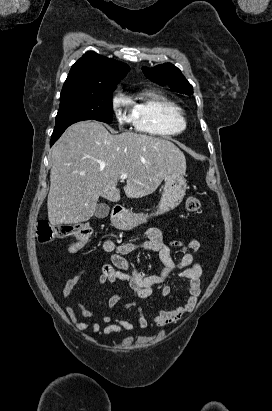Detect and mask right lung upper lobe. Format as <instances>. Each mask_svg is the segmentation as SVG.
I'll use <instances>...</instances> for the list:
<instances>
[{
    "instance_id": "1",
    "label": "right lung upper lobe",
    "mask_w": 272,
    "mask_h": 411,
    "mask_svg": "<svg viewBox=\"0 0 272 411\" xmlns=\"http://www.w3.org/2000/svg\"><path fill=\"white\" fill-rule=\"evenodd\" d=\"M129 69L125 63L89 51L71 67L62 92L91 90L116 84L125 77Z\"/></svg>"
}]
</instances>
